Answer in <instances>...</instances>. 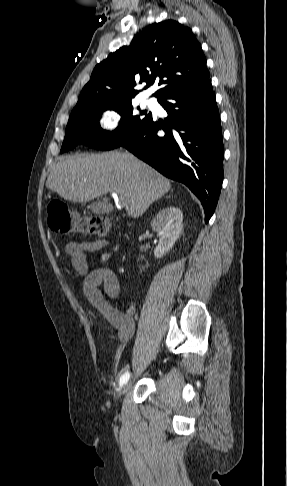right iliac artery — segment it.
Listing matches in <instances>:
<instances>
[{"mask_svg":"<svg viewBox=\"0 0 287 486\" xmlns=\"http://www.w3.org/2000/svg\"><path fill=\"white\" fill-rule=\"evenodd\" d=\"M130 377V373L129 372H125L121 377H120V381H119V384L120 386H123L124 384L127 383L128 379Z\"/></svg>","mask_w":287,"mask_h":486,"instance_id":"right-iliac-artery-1","label":"right iliac artery"}]
</instances>
